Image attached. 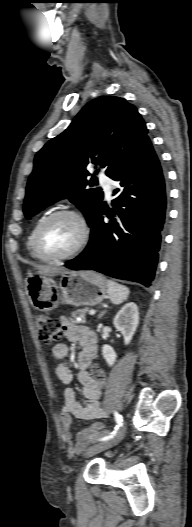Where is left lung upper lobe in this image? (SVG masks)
Wrapping results in <instances>:
<instances>
[{
  "instance_id": "1",
  "label": "left lung upper lobe",
  "mask_w": 192,
  "mask_h": 527,
  "mask_svg": "<svg viewBox=\"0 0 192 527\" xmlns=\"http://www.w3.org/2000/svg\"><path fill=\"white\" fill-rule=\"evenodd\" d=\"M148 139L144 120L125 99L101 96L90 101L63 133L36 154L23 205L26 218L65 197L91 226L103 192L87 188L86 166L92 163L105 168L112 178Z\"/></svg>"
}]
</instances>
